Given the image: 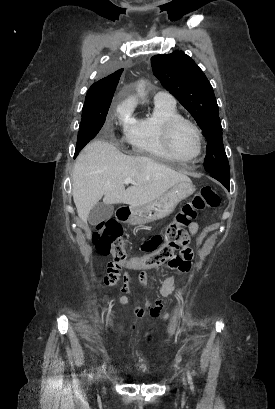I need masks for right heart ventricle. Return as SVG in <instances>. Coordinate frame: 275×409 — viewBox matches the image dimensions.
Wrapping results in <instances>:
<instances>
[{
  "label": "right heart ventricle",
  "instance_id": "obj_1",
  "mask_svg": "<svg viewBox=\"0 0 275 409\" xmlns=\"http://www.w3.org/2000/svg\"><path fill=\"white\" fill-rule=\"evenodd\" d=\"M179 117L175 106L155 104L152 115L135 120L127 133L132 152L151 158L171 157L164 144V127L168 121Z\"/></svg>",
  "mask_w": 275,
  "mask_h": 409
}]
</instances>
